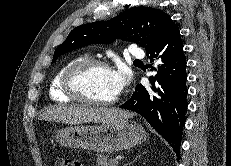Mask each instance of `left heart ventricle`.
Returning a JSON list of instances; mask_svg holds the SVG:
<instances>
[{
  "label": "left heart ventricle",
  "mask_w": 231,
  "mask_h": 166,
  "mask_svg": "<svg viewBox=\"0 0 231 166\" xmlns=\"http://www.w3.org/2000/svg\"><path fill=\"white\" fill-rule=\"evenodd\" d=\"M77 86L83 94L93 99L110 100L118 95L111 70L100 67L85 70L78 77Z\"/></svg>",
  "instance_id": "obj_1"
}]
</instances>
